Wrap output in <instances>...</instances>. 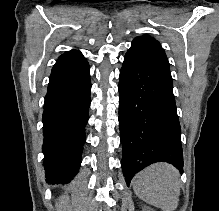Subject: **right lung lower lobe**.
I'll use <instances>...</instances> for the list:
<instances>
[{
  "mask_svg": "<svg viewBox=\"0 0 219 211\" xmlns=\"http://www.w3.org/2000/svg\"><path fill=\"white\" fill-rule=\"evenodd\" d=\"M90 91L89 65L83 56L56 61L43 112L44 168L53 184L69 183L79 170Z\"/></svg>",
  "mask_w": 219,
  "mask_h": 211,
  "instance_id": "98d812e1",
  "label": "right lung lower lobe"
}]
</instances>
